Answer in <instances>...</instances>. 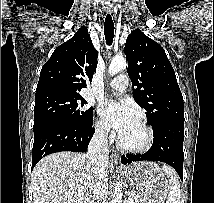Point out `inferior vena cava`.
<instances>
[{
  "instance_id": "obj_1",
  "label": "inferior vena cava",
  "mask_w": 214,
  "mask_h": 203,
  "mask_svg": "<svg viewBox=\"0 0 214 203\" xmlns=\"http://www.w3.org/2000/svg\"><path fill=\"white\" fill-rule=\"evenodd\" d=\"M108 133L109 128H98L88 146L86 163L90 169L89 180L92 184V195L89 203H108Z\"/></svg>"
}]
</instances>
